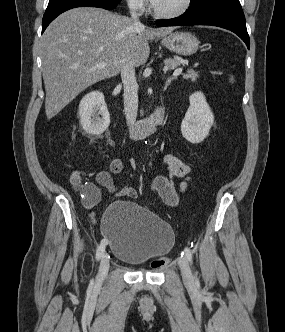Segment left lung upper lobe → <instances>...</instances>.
I'll return each mask as SVG.
<instances>
[{
  "label": "left lung upper lobe",
  "instance_id": "5c2ea615",
  "mask_svg": "<svg viewBox=\"0 0 285 332\" xmlns=\"http://www.w3.org/2000/svg\"><path fill=\"white\" fill-rule=\"evenodd\" d=\"M223 1H235V0H191L188 11L200 9L210 4L223 2Z\"/></svg>",
  "mask_w": 285,
  "mask_h": 332
}]
</instances>
